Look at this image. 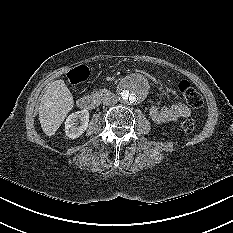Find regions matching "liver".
<instances>
[{
    "label": "liver",
    "instance_id": "1",
    "mask_svg": "<svg viewBox=\"0 0 233 233\" xmlns=\"http://www.w3.org/2000/svg\"><path fill=\"white\" fill-rule=\"evenodd\" d=\"M73 105V96L64 80L60 79L50 83L39 106V121L47 136L55 134Z\"/></svg>",
    "mask_w": 233,
    "mask_h": 233
}]
</instances>
